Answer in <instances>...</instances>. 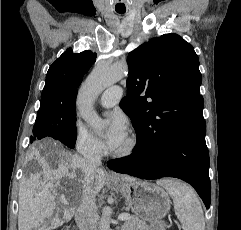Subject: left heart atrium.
I'll use <instances>...</instances> for the list:
<instances>
[{"mask_svg":"<svg viewBox=\"0 0 241 230\" xmlns=\"http://www.w3.org/2000/svg\"><path fill=\"white\" fill-rule=\"evenodd\" d=\"M108 126L105 130V141L110 149H117L127 138L128 123L120 112L109 113Z\"/></svg>","mask_w":241,"mask_h":230,"instance_id":"1","label":"left heart atrium"}]
</instances>
